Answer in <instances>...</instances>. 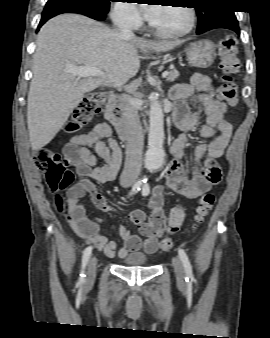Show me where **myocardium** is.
<instances>
[{
	"instance_id": "obj_1",
	"label": "myocardium",
	"mask_w": 270,
	"mask_h": 338,
	"mask_svg": "<svg viewBox=\"0 0 270 338\" xmlns=\"http://www.w3.org/2000/svg\"><path fill=\"white\" fill-rule=\"evenodd\" d=\"M183 8H185L189 14V22H188V25L184 29L176 31V32H164V31L158 30L157 28H155V26L152 23H150L149 26H150L151 31L160 38H181V37L188 35L195 27L196 13H195V10L187 4H185Z\"/></svg>"
}]
</instances>
